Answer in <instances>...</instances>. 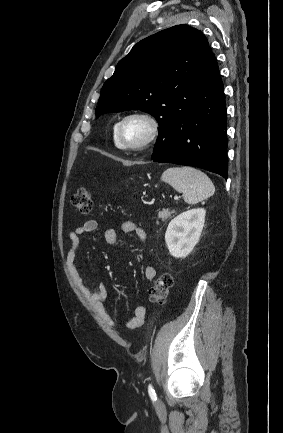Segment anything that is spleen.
Wrapping results in <instances>:
<instances>
[{
    "instance_id": "obj_1",
    "label": "spleen",
    "mask_w": 283,
    "mask_h": 433,
    "mask_svg": "<svg viewBox=\"0 0 283 433\" xmlns=\"http://www.w3.org/2000/svg\"><path fill=\"white\" fill-rule=\"evenodd\" d=\"M161 180L171 184L178 192H183L185 202L196 204L215 192L209 176L192 166H172L162 172Z\"/></svg>"
}]
</instances>
